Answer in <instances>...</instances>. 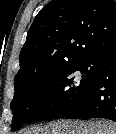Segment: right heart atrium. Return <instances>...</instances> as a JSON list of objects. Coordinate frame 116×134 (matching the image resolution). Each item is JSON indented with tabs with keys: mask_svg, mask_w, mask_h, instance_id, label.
Returning <instances> with one entry per match:
<instances>
[{
	"mask_svg": "<svg viewBox=\"0 0 116 134\" xmlns=\"http://www.w3.org/2000/svg\"><path fill=\"white\" fill-rule=\"evenodd\" d=\"M52 96H53V97H57V96H58V91H57V90L53 91V92H52Z\"/></svg>",
	"mask_w": 116,
	"mask_h": 134,
	"instance_id": "obj_1",
	"label": "right heart atrium"
}]
</instances>
